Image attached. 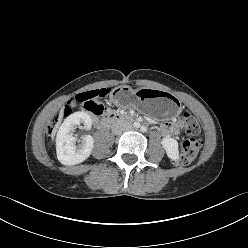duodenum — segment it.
Masks as SVG:
<instances>
[{
	"instance_id": "duodenum-1",
	"label": "duodenum",
	"mask_w": 248,
	"mask_h": 248,
	"mask_svg": "<svg viewBox=\"0 0 248 248\" xmlns=\"http://www.w3.org/2000/svg\"><path fill=\"white\" fill-rule=\"evenodd\" d=\"M88 111L91 112L95 116L96 123L101 128H106L114 122H127V121H129V117L127 115L119 114L116 112H107L104 115L100 116L98 113L92 112L90 110H88Z\"/></svg>"
}]
</instances>
